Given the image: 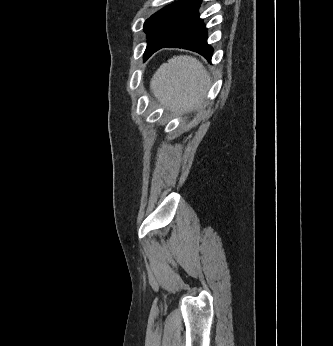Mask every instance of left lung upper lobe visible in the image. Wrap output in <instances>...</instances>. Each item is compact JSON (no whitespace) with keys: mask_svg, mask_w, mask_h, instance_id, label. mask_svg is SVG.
<instances>
[{"mask_svg":"<svg viewBox=\"0 0 333 346\" xmlns=\"http://www.w3.org/2000/svg\"><path fill=\"white\" fill-rule=\"evenodd\" d=\"M201 0H179L153 14L144 23L148 45L145 54L156 43L173 36L198 14Z\"/></svg>","mask_w":333,"mask_h":346,"instance_id":"5c2ea615","label":"left lung upper lobe"}]
</instances>
